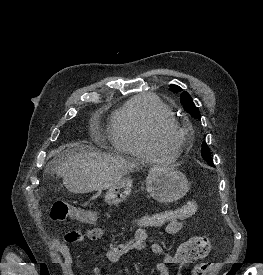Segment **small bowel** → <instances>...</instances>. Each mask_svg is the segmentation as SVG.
Wrapping results in <instances>:
<instances>
[{"label":"small bowel","instance_id":"small-bowel-1","mask_svg":"<svg viewBox=\"0 0 263 275\" xmlns=\"http://www.w3.org/2000/svg\"><path fill=\"white\" fill-rule=\"evenodd\" d=\"M146 226H139L133 235V237L123 243L111 245L105 253V257L110 263H117L123 256L134 250H148L154 255L161 257L160 262L156 267L160 275H170L168 266L175 264L174 257L167 254L164 248L157 242H150V235L145 228ZM182 229V223L180 221H171L165 224L164 231L169 235L177 234ZM104 230L102 228H94L89 230L86 234H82L78 231L68 232L64 240L61 242L56 237L51 238L53 246L58 253L62 256L64 263L70 265L72 263L71 249L67 243H77L86 245L87 241H97L104 236ZM94 253V252H92ZM93 275H103L100 266L93 268ZM109 275V274H106Z\"/></svg>","mask_w":263,"mask_h":275}]
</instances>
